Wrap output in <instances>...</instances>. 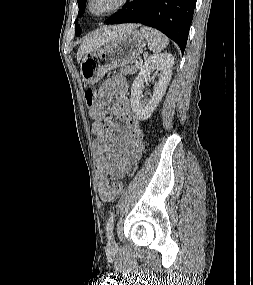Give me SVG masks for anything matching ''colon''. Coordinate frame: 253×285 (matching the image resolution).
Masks as SVG:
<instances>
[{
	"instance_id": "5ec220e1",
	"label": "colon",
	"mask_w": 253,
	"mask_h": 285,
	"mask_svg": "<svg viewBox=\"0 0 253 285\" xmlns=\"http://www.w3.org/2000/svg\"><path fill=\"white\" fill-rule=\"evenodd\" d=\"M97 98V94L94 88L89 87L85 91V101L89 107H91ZM113 189L115 190L116 193L120 194L123 190V183L121 181H117L113 184Z\"/></svg>"
}]
</instances>
